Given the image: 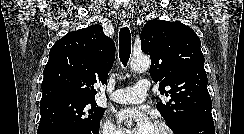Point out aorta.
I'll return each instance as SVG.
<instances>
[{"label":"aorta","instance_id":"762f6f07","mask_svg":"<svg viewBox=\"0 0 244 134\" xmlns=\"http://www.w3.org/2000/svg\"><path fill=\"white\" fill-rule=\"evenodd\" d=\"M151 61L145 55L134 56L131 60L130 67L136 72H144L150 67Z\"/></svg>","mask_w":244,"mask_h":134}]
</instances>
